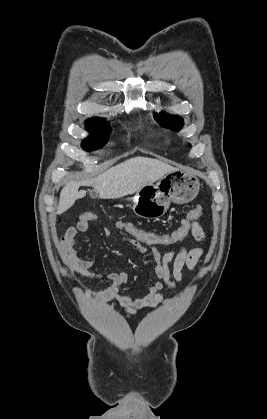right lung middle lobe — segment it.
<instances>
[{
    "instance_id": "dd1d6c3e",
    "label": "right lung middle lobe",
    "mask_w": 267,
    "mask_h": 419,
    "mask_svg": "<svg viewBox=\"0 0 267 419\" xmlns=\"http://www.w3.org/2000/svg\"><path fill=\"white\" fill-rule=\"evenodd\" d=\"M90 136L84 139L82 147L86 150L101 148L108 141L110 128L103 118L94 117L86 121Z\"/></svg>"
}]
</instances>
